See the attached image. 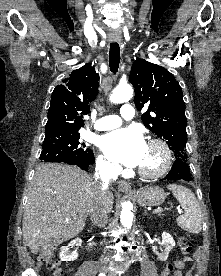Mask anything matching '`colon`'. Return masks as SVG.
Here are the masks:
<instances>
[{
  "label": "colon",
  "mask_w": 221,
  "mask_h": 276,
  "mask_svg": "<svg viewBox=\"0 0 221 276\" xmlns=\"http://www.w3.org/2000/svg\"><path fill=\"white\" fill-rule=\"evenodd\" d=\"M178 247L183 256L188 255L192 250V243L186 237H181L178 241ZM53 248L45 247L39 254V261L45 263L46 267L53 272V276H63V269L61 262L53 257ZM182 259L174 262V264L168 263L165 265L161 276H171L174 270L178 267H182ZM184 267V266H183Z\"/></svg>",
  "instance_id": "5ec220e1"
}]
</instances>
